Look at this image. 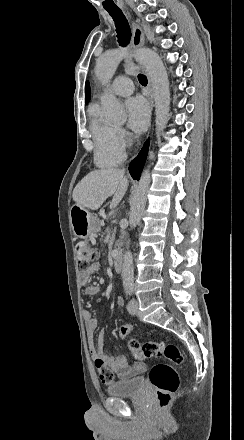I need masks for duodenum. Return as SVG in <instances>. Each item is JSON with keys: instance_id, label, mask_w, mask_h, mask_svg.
Here are the masks:
<instances>
[{"instance_id": "obj_1", "label": "duodenum", "mask_w": 244, "mask_h": 440, "mask_svg": "<svg viewBox=\"0 0 244 440\" xmlns=\"http://www.w3.org/2000/svg\"><path fill=\"white\" fill-rule=\"evenodd\" d=\"M113 267L116 273H121L123 270V256L121 253H116L113 257Z\"/></svg>"}]
</instances>
